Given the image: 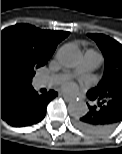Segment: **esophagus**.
<instances>
[{
    "instance_id": "esophagus-1",
    "label": "esophagus",
    "mask_w": 122,
    "mask_h": 154,
    "mask_svg": "<svg viewBox=\"0 0 122 154\" xmlns=\"http://www.w3.org/2000/svg\"><path fill=\"white\" fill-rule=\"evenodd\" d=\"M61 95H62V97L64 98V100H65L66 102H70V101L73 100V98H72L71 96H68V95H66V94H64V93H62Z\"/></svg>"
}]
</instances>
